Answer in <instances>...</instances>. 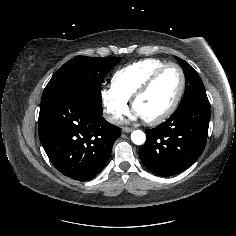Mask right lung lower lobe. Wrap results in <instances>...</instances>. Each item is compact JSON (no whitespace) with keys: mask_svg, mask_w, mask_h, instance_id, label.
Masks as SVG:
<instances>
[{"mask_svg":"<svg viewBox=\"0 0 236 236\" xmlns=\"http://www.w3.org/2000/svg\"><path fill=\"white\" fill-rule=\"evenodd\" d=\"M102 114V106L72 93L41 102L39 139L62 174L88 181L103 169L121 129L107 122Z\"/></svg>","mask_w":236,"mask_h":236,"instance_id":"right-lung-lower-lobe-1","label":"right lung lower lobe"}]
</instances>
